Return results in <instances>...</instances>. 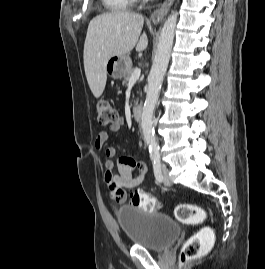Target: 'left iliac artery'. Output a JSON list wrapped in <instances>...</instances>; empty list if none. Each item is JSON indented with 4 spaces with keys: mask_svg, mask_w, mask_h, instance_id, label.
<instances>
[{
    "mask_svg": "<svg viewBox=\"0 0 265 269\" xmlns=\"http://www.w3.org/2000/svg\"><path fill=\"white\" fill-rule=\"evenodd\" d=\"M153 171L158 182H162L163 176L161 173V161L159 157L153 158Z\"/></svg>",
    "mask_w": 265,
    "mask_h": 269,
    "instance_id": "1",
    "label": "left iliac artery"
}]
</instances>
